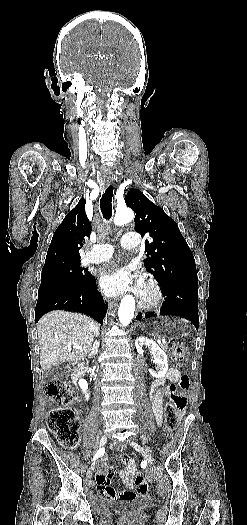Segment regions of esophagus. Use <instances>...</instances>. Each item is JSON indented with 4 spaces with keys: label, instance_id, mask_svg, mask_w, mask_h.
Instances as JSON below:
<instances>
[{
    "label": "esophagus",
    "instance_id": "esophagus-1",
    "mask_svg": "<svg viewBox=\"0 0 247 525\" xmlns=\"http://www.w3.org/2000/svg\"><path fill=\"white\" fill-rule=\"evenodd\" d=\"M138 316L141 318L143 316L142 312H136V317Z\"/></svg>",
    "mask_w": 247,
    "mask_h": 525
}]
</instances>
